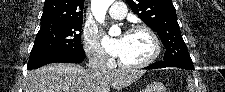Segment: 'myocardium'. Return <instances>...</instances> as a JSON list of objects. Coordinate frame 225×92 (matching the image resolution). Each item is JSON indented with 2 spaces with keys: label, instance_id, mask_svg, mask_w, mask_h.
Listing matches in <instances>:
<instances>
[{
  "label": "myocardium",
  "instance_id": "1",
  "mask_svg": "<svg viewBox=\"0 0 225 92\" xmlns=\"http://www.w3.org/2000/svg\"><path fill=\"white\" fill-rule=\"evenodd\" d=\"M136 31H144L149 35V37L151 38L152 43H153V52H152V54L149 58H147L146 60H144L140 63L127 64L119 58L118 59V65L122 68H125V69H141V68L147 67L148 65L152 64L158 58V56L160 55L161 43H160L159 37L156 34V32L151 27H149L147 25L135 24L127 30V33L136 32Z\"/></svg>",
  "mask_w": 225,
  "mask_h": 92
}]
</instances>
